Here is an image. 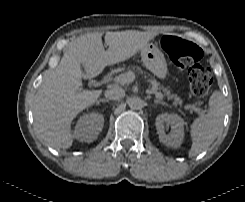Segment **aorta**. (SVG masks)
Returning a JSON list of instances; mask_svg holds the SVG:
<instances>
[{
	"label": "aorta",
	"mask_w": 245,
	"mask_h": 202,
	"mask_svg": "<svg viewBox=\"0 0 245 202\" xmlns=\"http://www.w3.org/2000/svg\"><path fill=\"white\" fill-rule=\"evenodd\" d=\"M128 105L133 110H140L144 106V102L139 97H132L128 100Z\"/></svg>",
	"instance_id": "obj_1"
}]
</instances>
